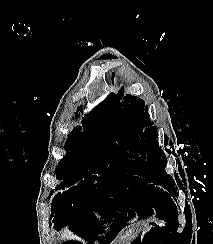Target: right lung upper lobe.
Listing matches in <instances>:
<instances>
[{"label":"right lung upper lobe","mask_w":213,"mask_h":244,"mask_svg":"<svg viewBox=\"0 0 213 244\" xmlns=\"http://www.w3.org/2000/svg\"><path fill=\"white\" fill-rule=\"evenodd\" d=\"M91 113L107 116L106 108L102 104L94 108Z\"/></svg>","instance_id":"cb5924a9"}]
</instances>
